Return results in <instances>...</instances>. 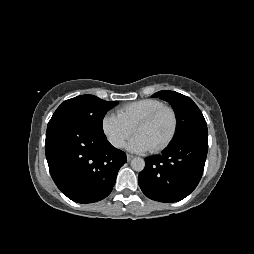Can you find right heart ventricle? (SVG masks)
Instances as JSON below:
<instances>
[{"mask_svg":"<svg viewBox=\"0 0 254 254\" xmlns=\"http://www.w3.org/2000/svg\"><path fill=\"white\" fill-rule=\"evenodd\" d=\"M163 105L160 100L141 99L121 106L117 110V115L134 128L140 119Z\"/></svg>","mask_w":254,"mask_h":254,"instance_id":"1","label":"right heart ventricle"}]
</instances>
